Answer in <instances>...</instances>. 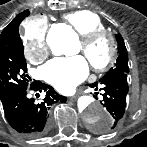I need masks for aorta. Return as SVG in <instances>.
I'll use <instances>...</instances> for the list:
<instances>
[{
    "label": "aorta",
    "mask_w": 147,
    "mask_h": 147,
    "mask_svg": "<svg viewBox=\"0 0 147 147\" xmlns=\"http://www.w3.org/2000/svg\"><path fill=\"white\" fill-rule=\"evenodd\" d=\"M47 43L54 55H73L77 52V37L68 28H64L56 34L50 32L47 36ZM78 108L85 122L94 128L107 127L112 122V115L100 103L91 98H80Z\"/></svg>",
    "instance_id": "aorta-1"
}]
</instances>
